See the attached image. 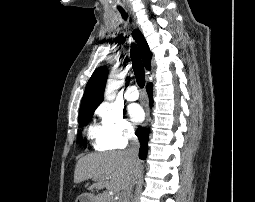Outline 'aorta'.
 I'll return each instance as SVG.
<instances>
[{
  "mask_svg": "<svg viewBox=\"0 0 255 202\" xmlns=\"http://www.w3.org/2000/svg\"><path fill=\"white\" fill-rule=\"evenodd\" d=\"M123 73L118 66H114L110 73V80L108 82V87L105 93V98L107 100H113L116 97L118 89L121 85Z\"/></svg>",
  "mask_w": 255,
  "mask_h": 202,
  "instance_id": "1",
  "label": "aorta"
}]
</instances>
